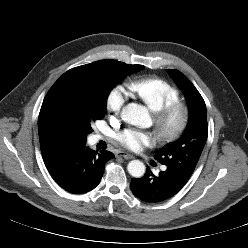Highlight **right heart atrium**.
Segmentation results:
<instances>
[{
	"mask_svg": "<svg viewBox=\"0 0 248 248\" xmlns=\"http://www.w3.org/2000/svg\"><path fill=\"white\" fill-rule=\"evenodd\" d=\"M127 101V93L121 85L112 87L106 96V108L114 115H119Z\"/></svg>",
	"mask_w": 248,
	"mask_h": 248,
	"instance_id": "right-heart-atrium-1",
	"label": "right heart atrium"
}]
</instances>
